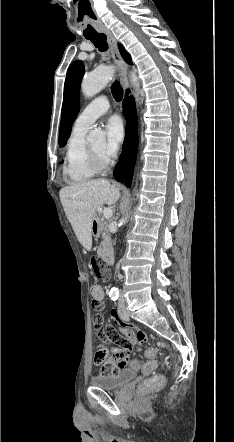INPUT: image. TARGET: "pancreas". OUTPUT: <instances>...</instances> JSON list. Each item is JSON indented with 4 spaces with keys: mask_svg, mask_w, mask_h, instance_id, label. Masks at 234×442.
<instances>
[{
    "mask_svg": "<svg viewBox=\"0 0 234 442\" xmlns=\"http://www.w3.org/2000/svg\"><path fill=\"white\" fill-rule=\"evenodd\" d=\"M100 225L102 228L101 234H102V239H103L101 242V246H103V248L110 247L111 246V236H110V233L107 228V222L101 220Z\"/></svg>",
    "mask_w": 234,
    "mask_h": 442,
    "instance_id": "cf45deb5",
    "label": "pancreas"
}]
</instances>
